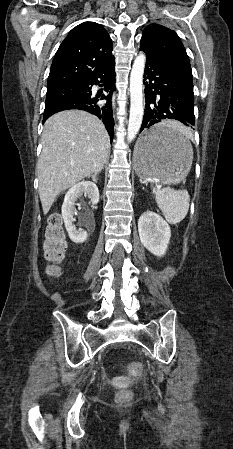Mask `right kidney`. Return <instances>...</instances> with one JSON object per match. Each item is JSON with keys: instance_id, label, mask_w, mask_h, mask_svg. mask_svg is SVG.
Instances as JSON below:
<instances>
[{"instance_id": "right-kidney-1", "label": "right kidney", "mask_w": 233, "mask_h": 449, "mask_svg": "<svg viewBox=\"0 0 233 449\" xmlns=\"http://www.w3.org/2000/svg\"><path fill=\"white\" fill-rule=\"evenodd\" d=\"M83 194L91 200L92 205H96L99 202V190L96 184L91 181H82L69 189L62 205V217L64 219L65 228L70 239L75 243H83L88 237L87 232L77 230L72 224L74 215L77 212L75 201Z\"/></svg>"}]
</instances>
